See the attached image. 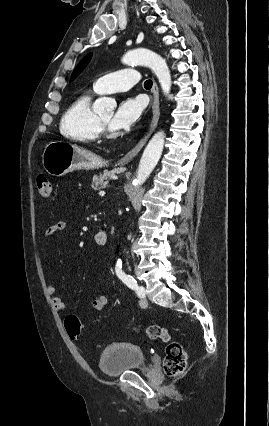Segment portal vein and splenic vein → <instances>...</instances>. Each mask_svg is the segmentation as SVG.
Returning a JSON list of instances; mask_svg holds the SVG:
<instances>
[{"label": "portal vein and splenic vein", "mask_w": 269, "mask_h": 426, "mask_svg": "<svg viewBox=\"0 0 269 426\" xmlns=\"http://www.w3.org/2000/svg\"><path fill=\"white\" fill-rule=\"evenodd\" d=\"M99 195H100V196H104V195H105V192H104V191H100V192H99Z\"/></svg>", "instance_id": "1"}]
</instances>
